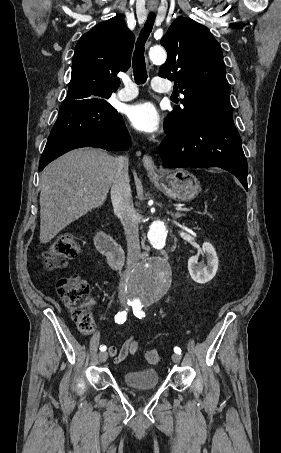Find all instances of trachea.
I'll return each instance as SVG.
<instances>
[{
	"mask_svg": "<svg viewBox=\"0 0 281 453\" xmlns=\"http://www.w3.org/2000/svg\"><path fill=\"white\" fill-rule=\"evenodd\" d=\"M155 21V14L150 13L148 15L147 21L142 28L138 40L136 42V49L133 55V74L134 79L137 84L145 83L147 80V71H146V63L144 57V45L146 40L148 39L153 25Z\"/></svg>",
	"mask_w": 281,
	"mask_h": 453,
	"instance_id": "trachea-1",
	"label": "trachea"
}]
</instances>
